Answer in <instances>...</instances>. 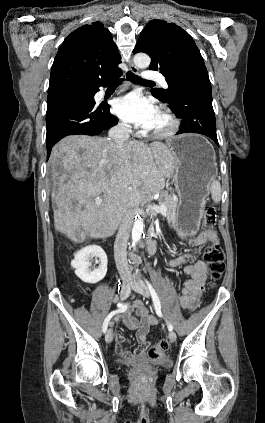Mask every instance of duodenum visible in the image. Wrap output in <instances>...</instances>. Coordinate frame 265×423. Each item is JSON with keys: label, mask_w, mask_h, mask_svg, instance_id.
<instances>
[{"label": "duodenum", "mask_w": 265, "mask_h": 423, "mask_svg": "<svg viewBox=\"0 0 265 423\" xmlns=\"http://www.w3.org/2000/svg\"><path fill=\"white\" fill-rule=\"evenodd\" d=\"M148 255H153L156 251V241L153 237H150L146 243Z\"/></svg>", "instance_id": "410a0bca"}]
</instances>
